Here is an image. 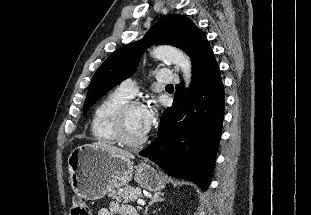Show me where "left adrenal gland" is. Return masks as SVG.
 Instances as JSON below:
<instances>
[{
	"label": "left adrenal gland",
	"mask_w": 311,
	"mask_h": 215,
	"mask_svg": "<svg viewBox=\"0 0 311 215\" xmlns=\"http://www.w3.org/2000/svg\"><path fill=\"white\" fill-rule=\"evenodd\" d=\"M163 195H164L163 193H155L153 195V197L151 198V201L149 202V204L145 208L144 215H147L148 209L150 206H152L154 203L161 202L164 200V198L161 197Z\"/></svg>",
	"instance_id": "a2214340"
}]
</instances>
